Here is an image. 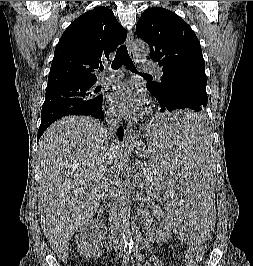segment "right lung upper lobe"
I'll list each match as a JSON object with an SVG mask.
<instances>
[{"label":"right lung upper lobe","instance_id":"cb5924a9","mask_svg":"<svg viewBox=\"0 0 253 266\" xmlns=\"http://www.w3.org/2000/svg\"><path fill=\"white\" fill-rule=\"evenodd\" d=\"M126 37V30L108 8L98 7L81 15L65 30L55 48L47 89L96 81L102 60L109 58Z\"/></svg>","mask_w":253,"mask_h":266}]
</instances>
